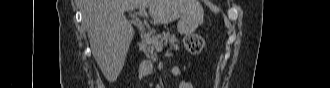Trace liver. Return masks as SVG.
Returning a JSON list of instances; mask_svg holds the SVG:
<instances>
[{
    "label": "liver",
    "mask_w": 330,
    "mask_h": 88,
    "mask_svg": "<svg viewBox=\"0 0 330 88\" xmlns=\"http://www.w3.org/2000/svg\"><path fill=\"white\" fill-rule=\"evenodd\" d=\"M82 6L93 57L109 81L119 76L135 34L125 11L148 8L154 24H167L201 7L197 0H83Z\"/></svg>",
    "instance_id": "obj_1"
}]
</instances>
